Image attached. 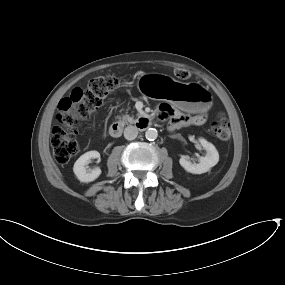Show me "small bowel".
I'll list each match as a JSON object with an SVG mask.
<instances>
[{"label":"small bowel","mask_w":285,"mask_h":285,"mask_svg":"<svg viewBox=\"0 0 285 285\" xmlns=\"http://www.w3.org/2000/svg\"><path fill=\"white\" fill-rule=\"evenodd\" d=\"M157 116L161 120L169 119L168 129L174 130L182 126H189L205 121L204 114L200 115H176L173 108L168 104H161L157 110Z\"/></svg>","instance_id":"small-bowel-1"}]
</instances>
